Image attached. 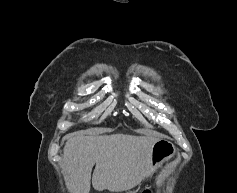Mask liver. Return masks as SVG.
Segmentation results:
<instances>
[{"mask_svg": "<svg viewBox=\"0 0 237 193\" xmlns=\"http://www.w3.org/2000/svg\"><path fill=\"white\" fill-rule=\"evenodd\" d=\"M158 138L126 134L71 135L63 149L61 166L71 193H89L91 172L95 190L122 192L146 177L151 151Z\"/></svg>", "mask_w": 237, "mask_h": 193, "instance_id": "6515ba94", "label": "liver"}]
</instances>
